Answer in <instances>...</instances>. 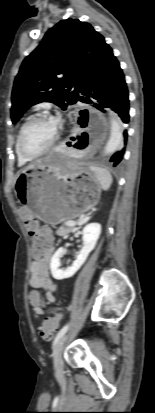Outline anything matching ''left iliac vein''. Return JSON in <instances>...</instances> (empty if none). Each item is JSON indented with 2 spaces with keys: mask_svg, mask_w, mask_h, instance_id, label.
<instances>
[{
  "mask_svg": "<svg viewBox=\"0 0 155 413\" xmlns=\"http://www.w3.org/2000/svg\"><path fill=\"white\" fill-rule=\"evenodd\" d=\"M67 334H64L56 343L55 350L53 353V364L55 371L58 376L63 375V360H62V351H63V346L64 343L67 339Z\"/></svg>",
  "mask_w": 155,
  "mask_h": 413,
  "instance_id": "1",
  "label": "left iliac vein"
}]
</instances>
